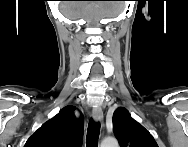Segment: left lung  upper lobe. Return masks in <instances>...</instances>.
<instances>
[{"mask_svg": "<svg viewBox=\"0 0 188 147\" xmlns=\"http://www.w3.org/2000/svg\"><path fill=\"white\" fill-rule=\"evenodd\" d=\"M113 130L120 147H158L153 136L125 108L115 110Z\"/></svg>", "mask_w": 188, "mask_h": 147, "instance_id": "1", "label": "left lung upper lobe"}]
</instances>
